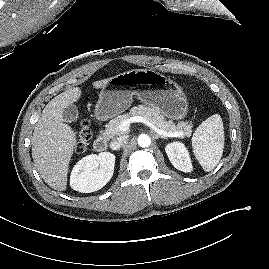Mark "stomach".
I'll return each instance as SVG.
<instances>
[{
  "label": "stomach",
  "instance_id": "0dacf381",
  "mask_svg": "<svg viewBox=\"0 0 269 269\" xmlns=\"http://www.w3.org/2000/svg\"><path fill=\"white\" fill-rule=\"evenodd\" d=\"M136 96L172 120H183L189 110L182 88L159 72L133 69L114 77L102 88L95 106V117L108 120L124 112Z\"/></svg>",
  "mask_w": 269,
  "mask_h": 269
}]
</instances>
